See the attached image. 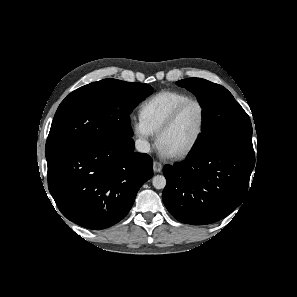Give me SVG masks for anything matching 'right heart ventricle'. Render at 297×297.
<instances>
[{
	"label": "right heart ventricle",
	"instance_id": "e07e8e85",
	"mask_svg": "<svg viewBox=\"0 0 297 297\" xmlns=\"http://www.w3.org/2000/svg\"><path fill=\"white\" fill-rule=\"evenodd\" d=\"M189 98V95L179 91H160L142 103L140 117L153 133H157L171 112Z\"/></svg>",
	"mask_w": 297,
	"mask_h": 297
}]
</instances>
